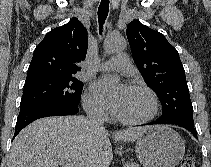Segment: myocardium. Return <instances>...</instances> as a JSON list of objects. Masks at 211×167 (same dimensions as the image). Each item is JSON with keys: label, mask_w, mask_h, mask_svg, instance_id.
<instances>
[{"label": "myocardium", "mask_w": 211, "mask_h": 167, "mask_svg": "<svg viewBox=\"0 0 211 167\" xmlns=\"http://www.w3.org/2000/svg\"><path fill=\"white\" fill-rule=\"evenodd\" d=\"M131 89L144 92L145 94L148 95V97L150 98V101H151V112L148 116L141 118V119H129V118H125V117L117 114L116 116H117L118 120L120 122H122L124 124H128V125H142V124H146V123L152 121L155 118V116L157 115L158 108H159L158 98H157L155 92L148 86L141 84V83H134L131 86Z\"/></svg>", "instance_id": "obj_1"}]
</instances>
